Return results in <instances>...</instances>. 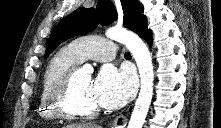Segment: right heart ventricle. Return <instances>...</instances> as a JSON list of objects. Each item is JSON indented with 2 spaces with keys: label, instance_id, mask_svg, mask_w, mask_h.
Instances as JSON below:
<instances>
[{
  "label": "right heart ventricle",
  "instance_id": "e07e8e85",
  "mask_svg": "<svg viewBox=\"0 0 221 128\" xmlns=\"http://www.w3.org/2000/svg\"><path fill=\"white\" fill-rule=\"evenodd\" d=\"M83 60L80 54L71 46L61 48L49 60L42 81V88L37 106L38 114L47 119L58 115L49 106V95L64 79L68 72L76 68Z\"/></svg>",
  "mask_w": 221,
  "mask_h": 128
}]
</instances>
